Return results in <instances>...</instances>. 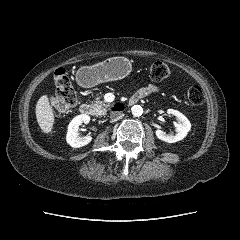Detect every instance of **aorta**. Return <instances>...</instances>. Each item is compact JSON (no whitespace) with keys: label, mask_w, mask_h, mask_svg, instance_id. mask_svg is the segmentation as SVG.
<instances>
[{"label":"aorta","mask_w":240,"mask_h":240,"mask_svg":"<svg viewBox=\"0 0 240 240\" xmlns=\"http://www.w3.org/2000/svg\"><path fill=\"white\" fill-rule=\"evenodd\" d=\"M131 111L134 116H141L143 113V108L140 105H134L131 108Z\"/></svg>","instance_id":"obj_1"}]
</instances>
